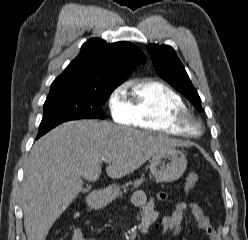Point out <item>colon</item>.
I'll return each mask as SVG.
<instances>
[{"label":"colon","instance_id":"5ec220e1","mask_svg":"<svg viewBox=\"0 0 248 240\" xmlns=\"http://www.w3.org/2000/svg\"><path fill=\"white\" fill-rule=\"evenodd\" d=\"M197 180H198L197 174L196 173H190L186 178L185 189L186 190L192 189L195 186Z\"/></svg>","mask_w":248,"mask_h":240}]
</instances>
